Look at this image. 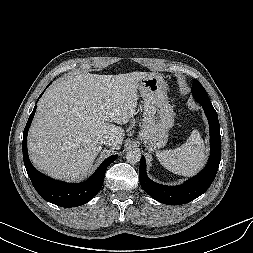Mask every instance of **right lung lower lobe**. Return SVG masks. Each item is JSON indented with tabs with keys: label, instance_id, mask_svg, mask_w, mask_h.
I'll return each mask as SVG.
<instances>
[{
	"label": "right lung lower lobe",
	"instance_id": "obj_1",
	"mask_svg": "<svg viewBox=\"0 0 253 253\" xmlns=\"http://www.w3.org/2000/svg\"><path fill=\"white\" fill-rule=\"evenodd\" d=\"M42 95V94H41ZM40 95V96H41ZM34 107L24 129L22 143L23 160L35 190L43 199L61 207H76L90 201L101 189L107 167L117 158V155L108 157L85 182L71 184L53 180L38 172L31 164L27 152V133L34 117Z\"/></svg>",
	"mask_w": 253,
	"mask_h": 253
}]
</instances>
